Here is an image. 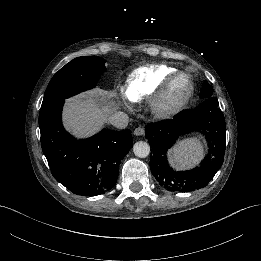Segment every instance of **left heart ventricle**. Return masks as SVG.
<instances>
[{
    "label": "left heart ventricle",
    "instance_id": "left-heart-ventricle-1",
    "mask_svg": "<svg viewBox=\"0 0 261 261\" xmlns=\"http://www.w3.org/2000/svg\"><path fill=\"white\" fill-rule=\"evenodd\" d=\"M186 92V84L183 81H179L175 88V94L176 95H183Z\"/></svg>",
    "mask_w": 261,
    "mask_h": 261
}]
</instances>
